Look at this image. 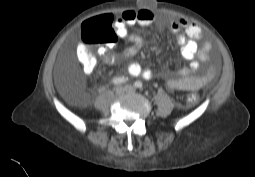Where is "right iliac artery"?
<instances>
[{
	"label": "right iliac artery",
	"mask_w": 255,
	"mask_h": 177,
	"mask_svg": "<svg viewBox=\"0 0 255 177\" xmlns=\"http://www.w3.org/2000/svg\"><path fill=\"white\" fill-rule=\"evenodd\" d=\"M124 82H126V78H124V77H116V78L113 79V84L114 85H119V84H122Z\"/></svg>",
	"instance_id": "obj_1"
}]
</instances>
